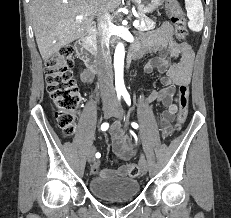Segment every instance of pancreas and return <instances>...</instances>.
Wrapping results in <instances>:
<instances>
[{
	"mask_svg": "<svg viewBox=\"0 0 231 218\" xmlns=\"http://www.w3.org/2000/svg\"><path fill=\"white\" fill-rule=\"evenodd\" d=\"M138 21H143L144 22L143 26L138 25L136 27L139 31H148V30H151V29H153L155 27V23L141 12H139Z\"/></svg>",
	"mask_w": 231,
	"mask_h": 218,
	"instance_id": "1",
	"label": "pancreas"
}]
</instances>
